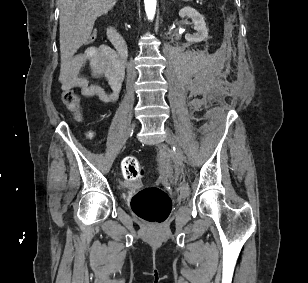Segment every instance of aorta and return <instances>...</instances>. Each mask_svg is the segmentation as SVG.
<instances>
[{"mask_svg": "<svg viewBox=\"0 0 308 283\" xmlns=\"http://www.w3.org/2000/svg\"><path fill=\"white\" fill-rule=\"evenodd\" d=\"M145 11L148 19L152 20L156 13V0H144Z\"/></svg>", "mask_w": 308, "mask_h": 283, "instance_id": "obj_1", "label": "aorta"}]
</instances>
